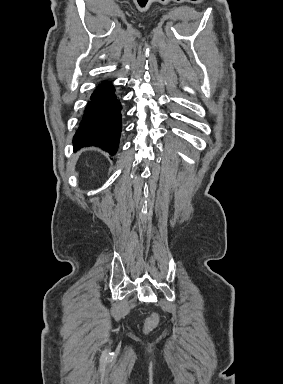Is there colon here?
<instances>
[{
  "instance_id": "obj_1",
  "label": "colon",
  "mask_w": 283,
  "mask_h": 384,
  "mask_svg": "<svg viewBox=\"0 0 283 384\" xmlns=\"http://www.w3.org/2000/svg\"><path fill=\"white\" fill-rule=\"evenodd\" d=\"M159 323V317L157 314L153 313L151 314L145 321V325H144V328L147 332L153 330L154 328H156V326L158 325Z\"/></svg>"
}]
</instances>
